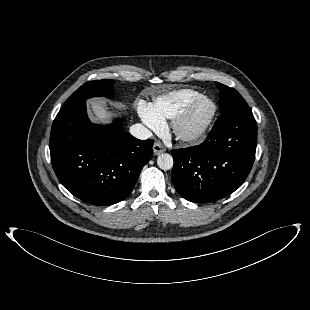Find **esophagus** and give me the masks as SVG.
Segmentation results:
<instances>
[{"instance_id": "34e87169", "label": "esophagus", "mask_w": 310, "mask_h": 310, "mask_svg": "<svg viewBox=\"0 0 310 310\" xmlns=\"http://www.w3.org/2000/svg\"><path fill=\"white\" fill-rule=\"evenodd\" d=\"M165 151L164 146L160 142H155L153 145V152L156 155H159Z\"/></svg>"}]
</instances>
